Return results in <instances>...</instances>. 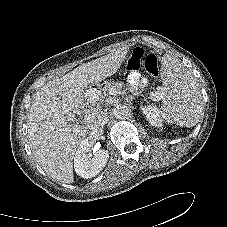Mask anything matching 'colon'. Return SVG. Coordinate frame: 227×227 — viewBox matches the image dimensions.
I'll return each instance as SVG.
<instances>
[{"instance_id": "1", "label": "colon", "mask_w": 227, "mask_h": 227, "mask_svg": "<svg viewBox=\"0 0 227 227\" xmlns=\"http://www.w3.org/2000/svg\"><path fill=\"white\" fill-rule=\"evenodd\" d=\"M141 66L153 77L159 75L158 60L154 54H145L144 50L137 47L129 54L125 68L129 71L138 70Z\"/></svg>"}]
</instances>
